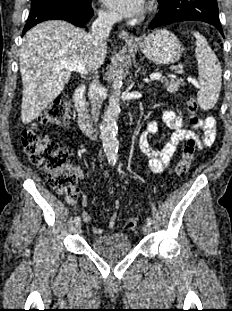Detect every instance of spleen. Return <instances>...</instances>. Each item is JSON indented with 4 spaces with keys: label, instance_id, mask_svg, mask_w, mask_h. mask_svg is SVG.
<instances>
[{
    "label": "spleen",
    "instance_id": "1",
    "mask_svg": "<svg viewBox=\"0 0 232 311\" xmlns=\"http://www.w3.org/2000/svg\"><path fill=\"white\" fill-rule=\"evenodd\" d=\"M192 34L196 39L195 56L198 61L200 83L197 100L201 108L210 110L217 103L221 90V65L206 38L196 31H193Z\"/></svg>",
    "mask_w": 232,
    "mask_h": 311
}]
</instances>
